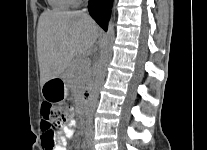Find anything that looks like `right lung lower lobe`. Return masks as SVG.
Wrapping results in <instances>:
<instances>
[{"instance_id":"1","label":"right lung lower lobe","mask_w":207,"mask_h":150,"mask_svg":"<svg viewBox=\"0 0 207 150\" xmlns=\"http://www.w3.org/2000/svg\"><path fill=\"white\" fill-rule=\"evenodd\" d=\"M112 0H89L88 9L92 18L107 31Z\"/></svg>"}]
</instances>
